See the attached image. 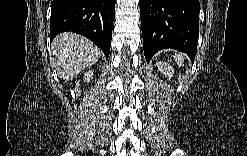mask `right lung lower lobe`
I'll list each match as a JSON object with an SVG mask.
<instances>
[{"instance_id":"obj_1","label":"right lung lower lobe","mask_w":247,"mask_h":156,"mask_svg":"<svg viewBox=\"0 0 247 156\" xmlns=\"http://www.w3.org/2000/svg\"><path fill=\"white\" fill-rule=\"evenodd\" d=\"M115 17V0H53L50 39L65 31L81 34L108 58Z\"/></svg>"}]
</instances>
